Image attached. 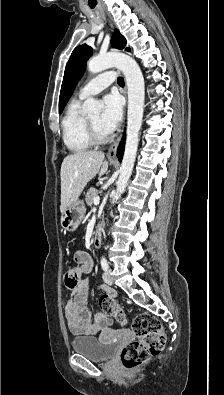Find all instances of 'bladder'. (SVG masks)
<instances>
[{
    "label": "bladder",
    "mask_w": 224,
    "mask_h": 395,
    "mask_svg": "<svg viewBox=\"0 0 224 395\" xmlns=\"http://www.w3.org/2000/svg\"><path fill=\"white\" fill-rule=\"evenodd\" d=\"M72 348L75 353L84 355L95 362L108 361L115 354L113 342H104L102 337H75L72 340Z\"/></svg>",
    "instance_id": "31cf9c89"
}]
</instances>
